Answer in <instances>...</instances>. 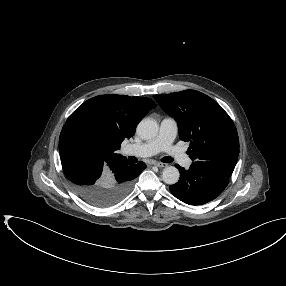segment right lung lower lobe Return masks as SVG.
Wrapping results in <instances>:
<instances>
[{
	"label": "right lung lower lobe",
	"mask_w": 286,
	"mask_h": 286,
	"mask_svg": "<svg viewBox=\"0 0 286 286\" xmlns=\"http://www.w3.org/2000/svg\"><path fill=\"white\" fill-rule=\"evenodd\" d=\"M59 153L64 174L75 192L96 207H110L130 191L133 179L146 168L144 162L104 157L93 141L75 128H63Z\"/></svg>",
	"instance_id": "obj_1"
}]
</instances>
